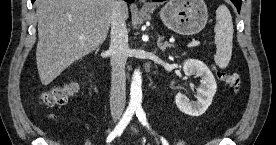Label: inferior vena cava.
<instances>
[{"instance_id": "1", "label": "inferior vena cava", "mask_w": 276, "mask_h": 145, "mask_svg": "<svg viewBox=\"0 0 276 145\" xmlns=\"http://www.w3.org/2000/svg\"><path fill=\"white\" fill-rule=\"evenodd\" d=\"M127 5L123 0H116L111 17L110 47L111 54V92L110 110L112 116H121L126 103L125 65L128 58V31L125 20Z\"/></svg>"}]
</instances>
